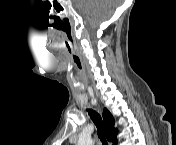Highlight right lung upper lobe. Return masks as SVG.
Wrapping results in <instances>:
<instances>
[{
  "label": "right lung upper lobe",
  "mask_w": 176,
  "mask_h": 145,
  "mask_svg": "<svg viewBox=\"0 0 176 145\" xmlns=\"http://www.w3.org/2000/svg\"><path fill=\"white\" fill-rule=\"evenodd\" d=\"M103 120L106 123L105 135L107 140L109 142H112L113 145H116L117 144L116 136H117L118 130L114 128V124H115L114 118L107 109H104Z\"/></svg>",
  "instance_id": "right-lung-upper-lobe-1"
}]
</instances>
